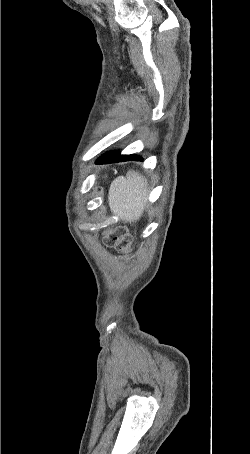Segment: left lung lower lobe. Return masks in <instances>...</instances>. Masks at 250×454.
Listing matches in <instances>:
<instances>
[{
    "instance_id": "obj_1",
    "label": "left lung lower lobe",
    "mask_w": 250,
    "mask_h": 454,
    "mask_svg": "<svg viewBox=\"0 0 250 454\" xmlns=\"http://www.w3.org/2000/svg\"><path fill=\"white\" fill-rule=\"evenodd\" d=\"M140 159L142 158L137 155H120L118 152H107L98 159L97 163H114Z\"/></svg>"
}]
</instances>
